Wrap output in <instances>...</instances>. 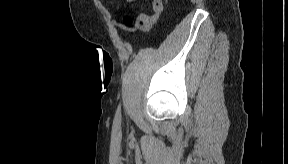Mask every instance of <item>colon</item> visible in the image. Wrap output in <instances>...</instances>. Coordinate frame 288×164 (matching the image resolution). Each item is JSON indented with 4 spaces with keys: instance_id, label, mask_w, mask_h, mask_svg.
Instances as JSON below:
<instances>
[{
    "instance_id": "5ec220e1",
    "label": "colon",
    "mask_w": 288,
    "mask_h": 164,
    "mask_svg": "<svg viewBox=\"0 0 288 164\" xmlns=\"http://www.w3.org/2000/svg\"><path fill=\"white\" fill-rule=\"evenodd\" d=\"M159 14H160V9L158 7H154L153 12H152L153 17L158 18ZM123 22H124V25L127 27H131L133 24V20L130 17H126Z\"/></svg>"
}]
</instances>
